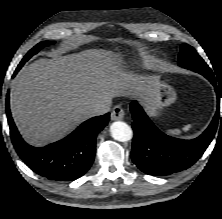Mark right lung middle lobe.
<instances>
[{
    "mask_svg": "<svg viewBox=\"0 0 222 219\" xmlns=\"http://www.w3.org/2000/svg\"><path fill=\"white\" fill-rule=\"evenodd\" d=\"M54 41H43L40 42L39 44H37L34 48H32L27 55L23 58V60L21 61V63L18 65V68L20 69L23 64L30 59V57H32L34 54H36L40 49H42L43 47L47 46V45H52L54 44Z\"/></svg>",
    "mask_w": 222,
    "mask_h": 219,
    "instance_id": "obj_1",
    "label": "right lung middle lobe"
}]
</instances>
